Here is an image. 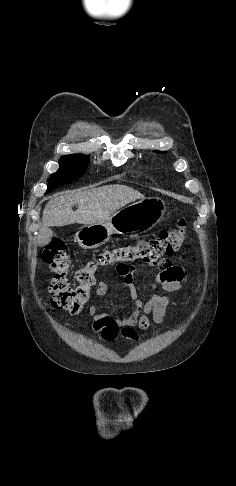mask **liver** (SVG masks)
Returning a JSON list of instances; mask_svg holds the SVG:
<instances>
[{
    "instance_id": "liver-1",
    "label": "liver",
    "mask_w": 236,
    "mask_h": 486,
    "mask_svg": "<svg viewBox=\"0 0 236 486\" xmlns=\"http://www.w3.org/2000/svg\"><path fill=\"white\" fill-rule=\"evenodd\" d=\"M143 198L137 190L118 184L66 192L54 197L45 206L43 229L73 223H101L125 205ZM75 204H78V209L73 211Z\"/></svg>"
}]
</instances>
